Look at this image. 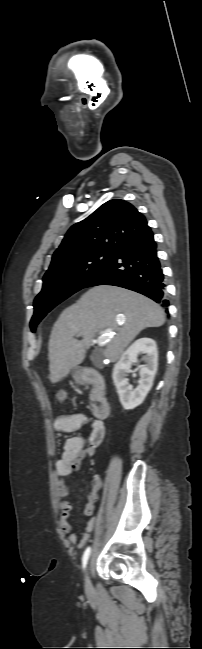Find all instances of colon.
I'll list each match as a JSON object with an SVG mask.
<instances>
[{
  "instance_id": "colon-1",
  "label": "colon",
  "mask_w": 202,
  "mask_h": 649,
  "mask_svg": "<svg viewBox=\"0 0 202 649\" xmlns=\"http://www.w3.org/2000/svg\"><path fill=\"white\" fill-rule=\"evenodd\" d=\"M56 402L58 404H65L68 401V392L64 389L58 390L55 394Z\"/></svg>"
}]
</instances>
